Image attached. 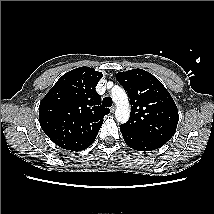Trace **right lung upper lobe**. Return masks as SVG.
<instances>
[{"label": "right lung upper lobe", "instance_id": "obj_1", "mask_svg": "<svg viewBox=\"0 0 214 214\" xmlns=\"http://www.w3.org/2000/svg\"><path fill=\"white\" fill-rule=\"evenodd\" d=\"M102 76L94 68H76L64 74L41 100L40 126L59 147L78 151L94 142L103 117L110 112L101 106L95 90Z\"/></svg>", "mask_w": 214, "mask_h": 214}]
</instances>
